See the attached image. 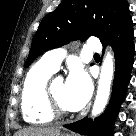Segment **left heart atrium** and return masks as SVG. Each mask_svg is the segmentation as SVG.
I'll return each mask as SVG.
<instances>
[{"instance_id":"obj_1","label":"left heart atrium","mask_w":136,"mask_h":136,"mask_svg":"<svg viewBox=\"0 0 136 136\" xmlns=\"http://www.w3.org/2000/svg\"><path fill=\"white\" fill-rule=\"evenodd\" d=\"M92 93V82L81 68L71 70L65 83V103L70 110L81 109L89 100Z\"/></svg>"}]
</instances>
